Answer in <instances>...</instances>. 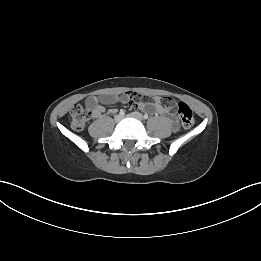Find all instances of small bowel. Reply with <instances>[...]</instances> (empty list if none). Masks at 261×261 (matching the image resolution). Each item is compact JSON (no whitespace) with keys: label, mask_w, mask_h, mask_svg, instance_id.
Segmentation results:
<instances>
[{"label":"small bowel","mask_w":261,"mask_h":261,"mask_svg":"<svg viewBox=\"0 0 261 261\" xmlns=\"http://www.w3.org/2000/svg\"><path fill=\"white\" fill-rule=\"evenodd\" d=\"M116 103H129L144 112L159 114L169 122L173 129L178 127L176 116L162 103L161 98L141 95L136 91L125 92L123 95L90 96L86 99L85 106L94 117L99 118L107 111L104 105Z\"/></svg>","instance_id":"c3829d8e"}]
</instances>
